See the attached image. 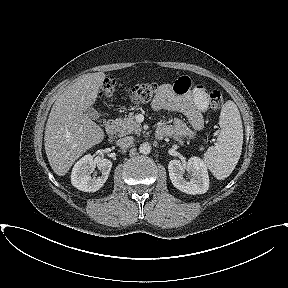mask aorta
Segmentation results:
<instances>
[{
  "mask_svg": "<svg viewBox=\"0 0 288 288\" xmlns=\"http://www.w3.org/2000/svg\"><path fill=\"white\" fill-rule=\"evenodd\" d=\"M151 145L148 142L140 144L139 151L141 154L147 155L151 152Z\"/></svg>",
  "mask_w": 288,
  "mask_h": 288,
  "instance_id": "obj_1",
  "label": "aorta"
}]
</instances>
